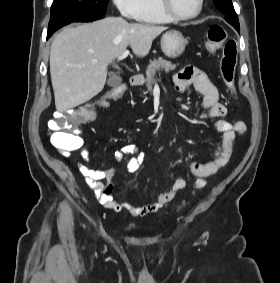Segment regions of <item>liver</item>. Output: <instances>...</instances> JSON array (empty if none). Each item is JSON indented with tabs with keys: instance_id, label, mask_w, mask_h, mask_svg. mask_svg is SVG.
<instances>
[{
	"instance_id": "obj_1",
	"label": "liver",
	"mask_w": 280,
	"mask_h": 283,
	"mask_svg": "<svg viewBox=\"0 0 280 283\" xmlns=\"http://www.w3.org/2000/svg\"><path fill=\"white\" fill-rule=\"evenodd\" d=\"M167 27L107 17L63 29L51 44L50 75L58 112L77 107L104 88L107 67L128 45L145 57Z\"/></svg>"
}]
</instances>
